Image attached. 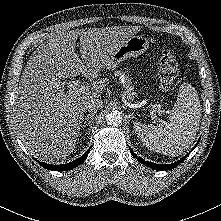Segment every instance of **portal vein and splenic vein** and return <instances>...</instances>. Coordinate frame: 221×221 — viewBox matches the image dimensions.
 <instances>
[{
    "label": "portal vein and splenic vein",
    "mask_w": 221,
    "mask_h": 221,
    "mask_svg": "<svg viewBox=\"0 0 221 221\" xmlns=\"http://www.w3.org/2000/svg\"><path fill=\"white\" fill-rule=\"evenodd\" d=\"M67 85L71 90L76 91V92L85 93L89 91V88L85 86L83 82H81L80 80L69 81ZM157 112L162 113V110L158 108ZM152 116L156 118L155 115H152Z\"/></svg>",
    "instance_id": "portal-vein-and-splenic-vein-1"
}]
</instances>
